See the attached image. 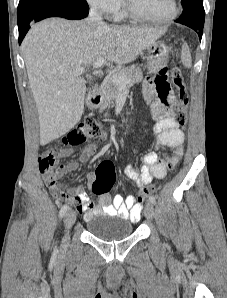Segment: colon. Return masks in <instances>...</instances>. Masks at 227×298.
<instances>
[{
	"label": "colon",
	"instance_id": "obj_1",
	"mask_svg": "<svg viewBox=\"0 0 227 298\" xmlns=\"http://www.w3.org/2000/svg\"><path fill=\"white\" fill-rule=\"evenodd\" d=\"M170 78L174 85L179 90V103L180 107L174 114L176 123L183 127L188 120L187 105L189 103V97L186 93L183 85V79L180 69L177 66H173L170 69ZM108 135L107 130L95 119L89 118L83 123L79 124L75 129L70 131L64 138L63 144L66 146H77L85 143L92 138H106ZM115 181V171L113 164L106 160L102 161L96 171L94 180L91 183L92 192L97 195L105 194L112 188ZM57 182L53 181L51 186H55V196L59 200H69L74 202L76 198L68 193H65L57 188ZM156 191L154 185H147L138 195L137 201L142 203L144 198Z\"/></svg>",
	"mask_w": 227,
	"mask_h": 298
}]
</instances>
